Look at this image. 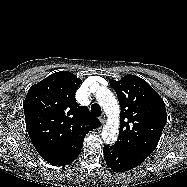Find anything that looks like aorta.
<instances>
[{
    "instance_id": "762f6f07",
    "label": "aorta",
    "mask_w": 187,
    "mask_h": 187,
    "mask_svg": "<svg viewBox=\"0 0 187 187\" xmlns=\"http://www.w3.org/2000/svg\"><path fill=\"white\" fill-rule=\"evenodd\" d=\"M97 100L108 116V122L103 127L102 139L106 144H113L118 138L120 107L114 94L106 87H100Z\"/></svg>"
}]
</instances>
